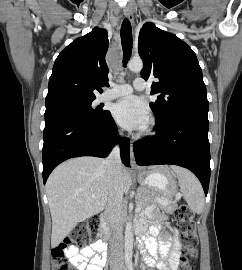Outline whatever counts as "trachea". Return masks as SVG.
Wrapping results in <instances>:
<instances>
[{"instance_id": "trachea-1", "label": "trachea", "mask_w": 242, "mask_h": 270, "mask_svg": "<svg viewBox=\"0 0 242 270\" xmlns=\"http://www.w3.org/2000/svg\"><path fill=\"white\" fill-rule=\"evenodd\" d=\"M121 43L123 48V66L126 67L132 53V28L128 19H124L121 26Z\"/></svg>"}]
</instances>
